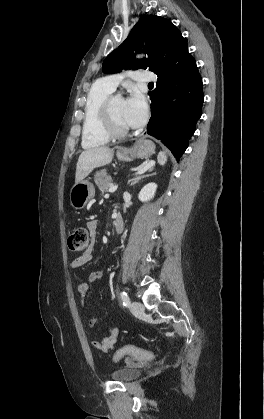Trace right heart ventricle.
<instances>
[{"instance_id":"right-heart-ventricle-1","label":"right heart ventricle","mask_w":264,"mask_h":419,"mask_svg":"<svg viewBox=\"0 0 264 419\" xmlns=\"http://www.w3.org/2000/svg\"><path fill=\"white\" fill-rule=\"evenodd\" d=\"M114 90L108 88L102 81L96 82L88 91L82 127V146L92 149L107 144L111 137L105 130L102 119V105Z\"/></svg>"}]
</instances>
